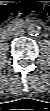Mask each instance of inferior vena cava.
Returning a JSON list of instances; mask_svg holds the SVG:
<instances>
[{
	"label": "inferior vena cava",
	"instance_id": "602c4592",
	"mask_svg": "<svg viewBox=\"0 0 50 111\" xmlns=\"http://www.w3.org/2000/svg\"><path fill=\"white\" fill-rule=\"evenodd\" d=\"M11 35L14 37L24 35V30L23 29H16L11 33Z\"/></svg>",
	"mask_w": 50,
	"mask_h": 111
}]
</instances>
